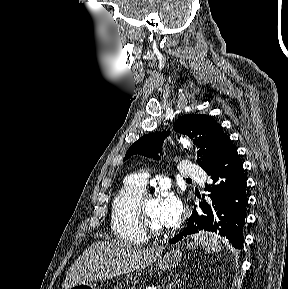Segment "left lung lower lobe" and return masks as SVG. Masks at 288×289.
Masks as SVG:
<instances>
[{"mask_svg": "<svg viewBox=\"0 0 288 289\" xmlns=\"http://www.w3.org/2000/svg\"><path fill=\"white\" fill-rule=\"evenodd\" d=\"M205 172L211 179V183H206L205 187L209 194L206 198L204 195L199 197L198 210L194 206L187 227L169 243L174 244L187 235L207 230L219 232L233 247L240 249L248 205L247 183L237 149L230 138Z\"/></svg>", "mask_w": 288, "mask_h": 289, "instance_id": "obj_1", "label": "left lung lower lobe"}]
</instances>
